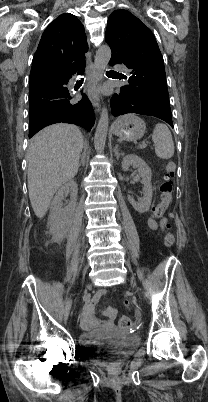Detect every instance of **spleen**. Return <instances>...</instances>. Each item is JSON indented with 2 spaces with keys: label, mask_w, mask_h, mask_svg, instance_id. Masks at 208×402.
<instances>
[{
  "label": "spleen",
  "mask_w": 208,
  "mask_h": 402,
  "mask_svg": "<svg viewBox=\"0 0 208 402\" xmlns=\"http://www.w3.org/2000/svg\"><path fill=\"white\" fill-rule=\"evenodd\" d=\"M152 140L156 146L155 154L158 158L169 160L174 156V142L172 134L165 124H156Z\"/></svg>",
  "instance_id": "3e777b00"
}]
</instances>
